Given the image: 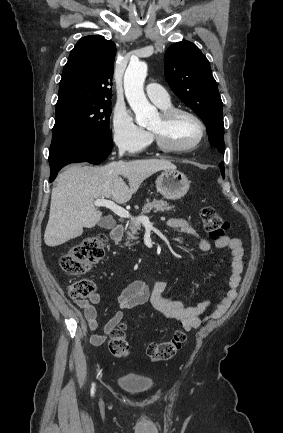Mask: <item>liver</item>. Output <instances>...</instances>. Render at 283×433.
<instances>
[{
    "mask_svg": "<svg viewBox=\"0 0 283 433\" xmlns=\"http://www.w3.org/2000/svg\"><path fill=\"white\" fill-rule=\"evenodd\" d=\"M175 170L177 166L166 158L146 160H113L104 166L74 164L61 172L57 186L52 188L49 221L44 233L48 247L63 245L76 239L86 229H93L101 221L102 212L94 198H112L118 204L130 200L141 182L157 170ZM121 174V176H119ZM128 178L126 184L124 178Z\"/></svg>",
    "mask_w": 283,
    "mask_h": 433,
    "instance_id": "obj_1",
    "label": "liver"
}]
</instances>
